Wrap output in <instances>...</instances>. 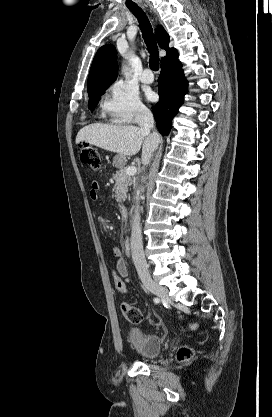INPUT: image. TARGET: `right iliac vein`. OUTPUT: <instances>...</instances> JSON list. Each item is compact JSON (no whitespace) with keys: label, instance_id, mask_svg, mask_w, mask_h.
I'll list each match as a JSON object with an SVG mask.
<instances>
[{"label":"right iliac vein","instance_id":"63e3f726","mask_svg":"<svg viewBox=\"0 0 272 417\" xmlns=\"http://www.w3.org/2000/svg\"><path fill=\"white\" fill-rule=\"evenodd\" d=\"M142 282H143L146 289H148L149 291H151L152 293L157 295L161 300H163V301H168L169 300L167 290L164 287H162L161 285L154 282L151 278L144 277L142 279Z\"/></svg>","mask_w":272,"mask_h":417}]
</instances>
